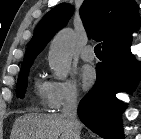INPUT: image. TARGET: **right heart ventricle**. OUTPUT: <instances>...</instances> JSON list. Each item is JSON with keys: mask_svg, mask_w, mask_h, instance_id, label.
I'll return each instance as SVG.
<instances>
[{"mask_svg": "<svg viewBox=\"0 0 141 139\" xmlns=\"http://www.w3.org/2000/svg\"><path fill=\"white\" fill-rule=\"evenodd\" d=\"M35 91H36L37 96L40 99H45V95H46V83H42V82L37 81L35 83Z\"/></svg>", "mask_w": 141, "mask_h": 139, "instance_id": "obj_1", "label": "right heart ventricle"}]
</instances>
